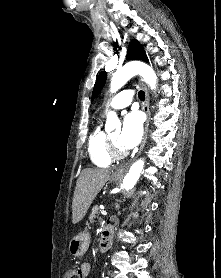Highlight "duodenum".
<instances>
[{"label": "duodenum", "mask_w": 221, "mask_h": 278, "mask_svg": "<svg viewBox=\"0 0 221 278\" xmlns=\"http://www.w3.org/2000/svg\"><path fill=\"white\" fill-rule=\"evenodd\" d=\"M112 236H113V224H108L104 227L101 237L98 243V252L104 253L106 252L112 242Z\"/></svg>", "instance_id": "duodenum-1"}]
</instances>
